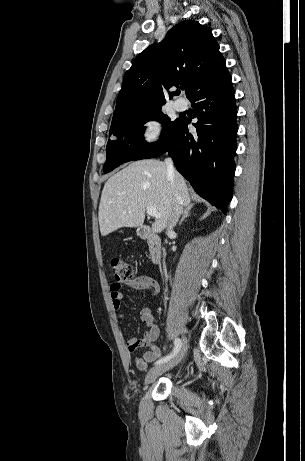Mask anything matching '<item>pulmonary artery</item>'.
I'll return each mask as SVG.
<instances>
[{
    "instance_id": "obj_1",
    "label": "pulmonary artery",
    "mask_w": 305,
    "mask_h": 461,
    "mask_svg": "<svg viewBox=\"0 0 305 461\" xmlns=\"http://www.w3.org/2000/svg\"><path fill=\"white\" fill-rule=\"evenodd\" d=\"M188 102L184 98H178L174 102V107L177 111H184L187 109Z\"/></svg>"
}]
</instances>
